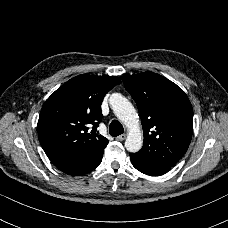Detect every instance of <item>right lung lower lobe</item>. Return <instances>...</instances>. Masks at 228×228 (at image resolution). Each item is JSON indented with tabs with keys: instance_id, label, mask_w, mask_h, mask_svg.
<instances>
[{
	"instance_id": "right-lung-lower-lobe-1",
	"label": "right lung lower lobe",
	"mask_w": 228,
	"mask_h": 228,
	"mask_svg": "<svg viewBox=\"0 0 228 228\" xmlns=\"http://www.w3.org/2000/svg\"><path fill=\"white\" fill-rule=\"evenodd\" d=\"M106 145L97 149L88 158L76 164L58 167V169L66 174L73 175V176L87 174L90 171L94 170L101 163L103 152Z\"/></svg>"
}]
</instances>
